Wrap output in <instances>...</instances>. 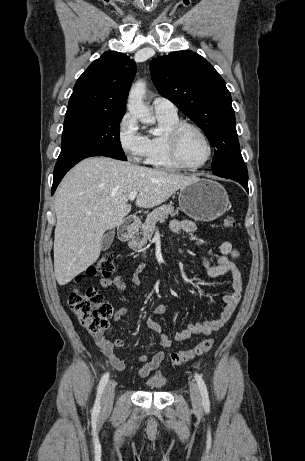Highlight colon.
<instances>
[{
    "instance_id": "1",
    "label": "colon",
    "mask_w": 305,
    "mask_h": 461,
    "mask_svg": "<svg viewBox=\"0 0 305 461\" xmlns=\"http://www.w3.org/2000/svg\"><path fill=\"white\" fill-rule=\"evenodd\" d=\"M223 226L227 229L236 227V220L233 216H226L223 219ZM115 273L113 257L110 254L102 255L89 269L92 276L109 278ZM68 304L72 312L78 318L81 326L90 334H101L108 326V318L113 313L111 304L104 299L98 290L89 286L84 291L79 289L71 290ZM213 338H207L190 350L171 352L169 355L173 365H181L196 357H199L212 349Z\"/></svg>"
}]
</instances>
